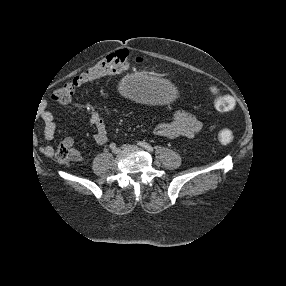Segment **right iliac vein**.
I'll use <instances>...</instances> for the list:
<instances>
[{"instance_id":"1","label":"right iliac vein","mask_w":286,"mask_h":286,"mask_svg":"<svg viewBox=\"0 0 286 286\" xmlns=\"http://www.w3.org/2000/svg\"><path fill=\"white\" fill-rule=\"evenodd\" d=\"M114 154H119L120 153V150L118 149V148H115V149H113V151H112Z\"/></svg>"}]
</instances>
